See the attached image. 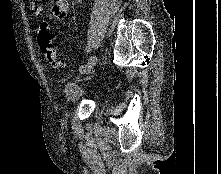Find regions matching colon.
I'll return each mask as SVG.
<instances>
[{
	"label": "colon",
	"mask_w": 221,
	"mask_h": 174,
	"mask_svg": "<svg viewBox=\"0 0 221 174\" xmlns=\"http://www.w3.org/2000/svg\"><path fill=\"white\" fill-rule=\"evenodd\" d=\"M54 35L50 26L46 22L39 24L37 33V42L44 58L53 66H62L63 61L59 59L58 52L55 48Z\"/></svg>",
	"instance_id": "5ec220e1"
}]
</instances>
